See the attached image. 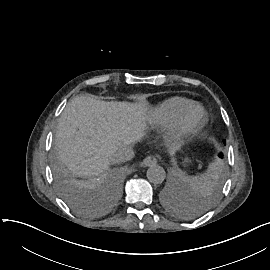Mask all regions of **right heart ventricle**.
I'll list each match as a JSON object with an SVG mask.
<instances>
[{"label":"right heart ventricle","mask_w":270,"mask_h":270,"mask_svg":"<svg viewBox=\"0 0 270 270\" xmlns=\"http://www.w3.org/2000/svg\"><path fill=\"white\" fill-rule=\"evenodd\" d=\"M195 105V102L182 97H171L156 106L151 115V124L157 130L175 125L181 117Z\"/></svg>","instance_id":"right-heart-ventricle-1"}]
</instances>
